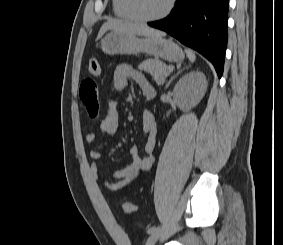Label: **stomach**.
<instances>
[{
	"label": "stomach",
	"mask_w": 283,
	"mask_h": 245,
	"mask_svg": "<svg viewBox=\"0 0 283 245\" xmlns=\"http://www.w3.org/2000/svg\"><path fill=\"white\" fill-rule=\"evenodd\" d=\"M101 49L109 55L147 53L170 62H180L185 56L177 44L160 36L140 38L133 34L114 31L104 37Z\"/></svg>",
	"instance_id": "0dacf381"
}]
</instances>
